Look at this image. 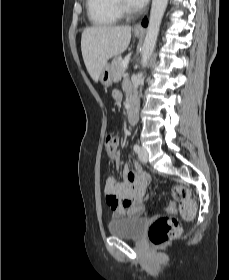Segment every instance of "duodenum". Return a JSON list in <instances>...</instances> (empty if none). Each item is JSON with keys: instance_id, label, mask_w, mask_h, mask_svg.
<instances>
[{"instance_id": "1", "label": "duodenum", "mask_w": 229, "mask_h": 280, "mask_svg": "<svg viewBox=\"0 0 229 280\" xmlns=\"http://www.w3.org/2000/svg\"><path fill=\"white\" fill-rule=\"evenodd\" d=\"M139 109V99L134 91L129 93L127 100V122L129 125L133 126L137 122Z\"/></svg>"}]
</instances>
